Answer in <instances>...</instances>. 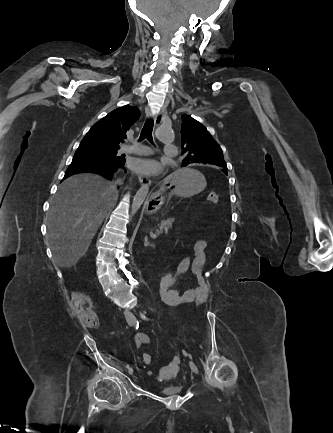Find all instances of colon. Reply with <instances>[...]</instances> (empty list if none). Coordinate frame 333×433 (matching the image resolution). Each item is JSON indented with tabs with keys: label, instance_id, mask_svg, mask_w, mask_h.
<instances>
[{
	"label": "colon",
	"instance_id": "5ec220e1",
	"mask_svg": "<svg viewBox=\"0 0 333 433\" xmlns=\"http://www.w3.org/2000/svg\"><path fill=\"white\" fill-rule=\"evenodd\" d=\"M208 201L213 203V204H217L218 202V196L216 193L214 192H210L208 194L207 197ZM172 271H163L162 274L159 275V289H160V293H161V298L165 299V303H170L171 299L168 298V293H170V290H167V292H165V286H171L172 285ZM72 307L74 310V313L76 315V317L78 318V320L81 322V324L83 326L86 327H94L97 324V319L96 316L94 314V312L91 309V301L89 299V297L81 292H75L72 295ZM178 307H186V302L184 301H180L177 303H173V306H177ZM143 362L147 365L152 363V356L150 354H144L143 355Z\"/></svg>",
	"mask_w": 333,
	"mask_h": 433
}]
</instances>
